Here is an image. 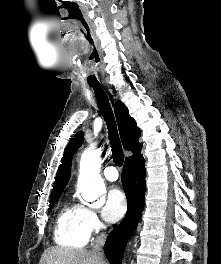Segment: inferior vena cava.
I'll return each mask as SVG.
<instances>
[{
	"label": "inferior vena cava",
	"instance_id": "inferior-vena-cava-1",
	"mask_svg": "<svg viewBox=\"0 0 221 264\" xmlns=\"http://www.w3.org/2000/svg\"><path fill=\"white\" fill-rule=\"evenodd\" d=\"M106 241V235L105 234H101L97 240V243L95 244V246L93 247V253H95L98 257H103V246L105 244Z\"/></svg>",
	"mask_w": 221,
	"mask_h": 264
}]
</instances>
